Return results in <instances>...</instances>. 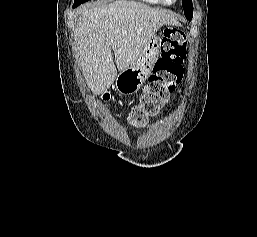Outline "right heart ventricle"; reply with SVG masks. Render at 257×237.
I'll list each match as a JSON object with an SVG mask.
<instances>
[{"mask_svg": "<svg viewBox=\"0 0 257 237\" xmlns=\"http://www.w3.org/2000/svg\"><path fill=\"white\" fill-rule=\"evenodd\" d=\"M145 3L153 4V5H162L164 4L162 0H142Z\"/></svg>", "mask_w": 257, "mask_h": 237, "instance_id": "obj_1", "label": "right heart ventricle"}]
</instances>
